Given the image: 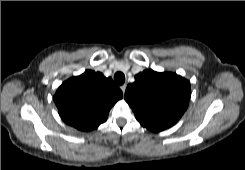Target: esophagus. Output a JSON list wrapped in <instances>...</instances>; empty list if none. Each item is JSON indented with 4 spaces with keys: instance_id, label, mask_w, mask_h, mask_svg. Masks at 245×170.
Listing matches in <instances>:
<instances>
[{
    "instance_id": "1",
    "label": "esophagus",
    "mask_w": 245,
    "mask_h": 170,
    "mask_svg": "<svg viewBox=\"0 0 245 170\" xmlns=\"http://www.w3.org/2000/svg\"><path fill=\"white\" fill-rule=\"evenodd\" d=\"M126 87H127V84H123L121 86V90H122L123 95L125 94Z\"/></svg>"
}]
</instances>
